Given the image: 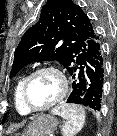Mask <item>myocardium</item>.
<instances>
[{"label":"myocardium","mask_w":117,"mask_h":136,"mask_svg":"<svg viewBox=\"0 0 117 136\" xmlns=\"http://www.w3.org/2000/svg\"><path fill=\"white\" fill-rule=\"evenodd\" d=\"M41 73L55 74L61 83V90H60L59 95L52 102H50L49 104L43 107L36 108L32 106L31 103L29 102L28 89H29V85L31 81L33 80V78ZM68 89H69L68 80L62 71H60L59 69L55 67H49V66L41 67V68L36 69L35 71H33L31 74H29L26 77L24 84H23V88H22V101H23L24 106L29 112H33V113L45 112L51 109L52 107H54L55 105H57L58 103H60L67 95Z\"/></svg>","instance_id":"obj_1"}]
</instances>
